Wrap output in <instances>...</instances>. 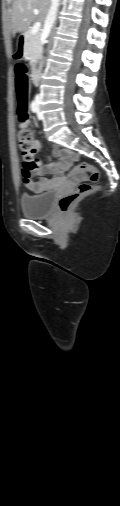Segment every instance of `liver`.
<instances>
[{
	"label": "liver",
	"mask_w": 120,
	"mask_h": 506,
	"mask_svg": "<svg viewBox=\"0 0 120 506\" xmlns=\"http://www.w3.org/2000/svg\"><path fill=\"white\" fill-rule=\"evenodd\" d=\"M51 0H14L12 7V34L25 32L37 19L45 21ZM38 9L39 14L33 10Z\"/></svg>",
	"instance_id": "1"
}]
</instances>
